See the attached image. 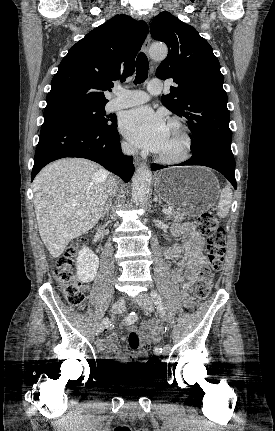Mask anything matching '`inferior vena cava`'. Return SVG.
I'll return each mask as SVG.
<instances>
[{
  "label": "inferior vena cava",
  "instance_id": "1",
  "mask_svg": "<svg viewBox=\"0 0 275 431\" xmlns=\"http://www.w3.org/2000/svg\"><path fill=\"white\" fill-rule=\"evenodd\" d=\"M122 151L126 155H131L135 152L134 148L128 144L122 145ZM117 180L114 176H110L107 180L108 194L114 195L116 192Z\"/></svg>",
  "mask_w": 275,
  "mask_h": 431
}]
</instances>
